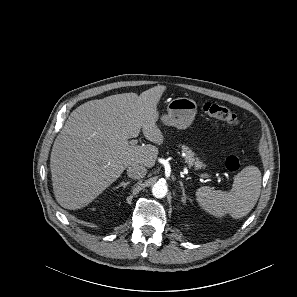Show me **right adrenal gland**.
Here are the masks:
<instances>
[{"instance_id":"right-adrenal-gland-1","label":"right adrenal gland","mask_w":297,"mask_h":297,"mask_svg":"<svg viewBox=\"0 0 297 297\" xmlns=\"http://www.w3.org/2000/svg\"><path fill=\"white\" fill-rule=\"evenodd\" d=\"M128 184H130V181H127V182L123 181L117 187H115L114 189H118L119 187H123V189H125Z\"/></svg>"}]
</instances>
